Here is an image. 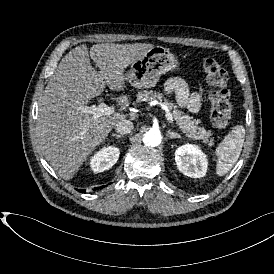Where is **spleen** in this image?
<instances>
[{
	"instance_id": "1",
	"label": "spleen",
	"mask_w": 274,
	"mask_h": 274,
	"mask_svg": "<svg viewBox=\"0 0 274 274\" xmlns=\"http://www.w3.org/2000/svg\"><path fill=\"white\" fill-rule=\"evenodd\" d=\"M244 138L245 128L242 125H237L216 148V155L218 156L217 175H225L237 162L242 151Z\"/></svg>"
}]
</instances>
